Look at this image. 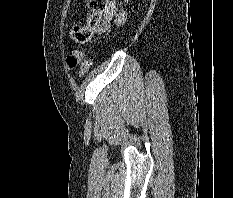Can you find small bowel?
<instances>
[{"label":"small bowel","instance_id":"1","mask_svg":"<svg viewBox=\"0 0 233 198\" xmlns=\"http://www.w3.org/2000/svg\"><path fill=\"white\" fill-rule=\"evenodd\" d=\"M124 20V13L118 9L115 2H110L103 13V18H101L99 24L95 27L93 34L106 31L110 27V23L112 21L122 24ZM74 55L79 59V61L83 58V53L80 51L75 52Z\"/></svg>","mask_w":233,"mask_h":198}]
</instances>
